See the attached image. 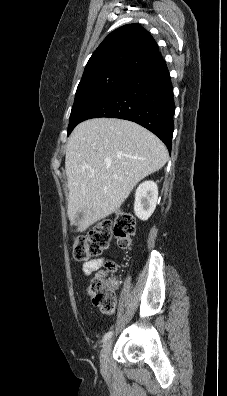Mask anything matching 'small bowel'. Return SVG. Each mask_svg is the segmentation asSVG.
Listing matches in <instances>:
<instances>
[{
	"instance_id": "obj_1",
	"label": "small bowel",
	"mask_w": 227,
	"mask_h": 396,
	"mask_svg": "<svg viewBox=\"0 0 227 396\" xmlns=\"http://www.w3.org/2000/svg\"><path fill=\"white\" fill-rule=\"evenodd\" d=\"M103 263V259H93L83 264V271L86 275L91 274L93 271L99 269Z\"/></svg>"
}]
</instances>
